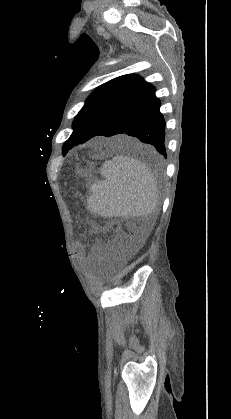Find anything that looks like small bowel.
I'll return each instance as SVG.
<instances>
[{
    "label": "small bowel",
    "mask_w": 231,
    "mask_h": 419,
    "mask_svg": "<svg viewBox=\"0 0 231 419\" xmlns=\"http://www.w3.org/2000/svg\"><path fill=\"white\" fill-rule=\"evenodd\" d=\"M77 248H78V250H80L81 248H80V246H77Z\"/></svg>",
    "instance_id": "obj_1"
}]
</instances>
